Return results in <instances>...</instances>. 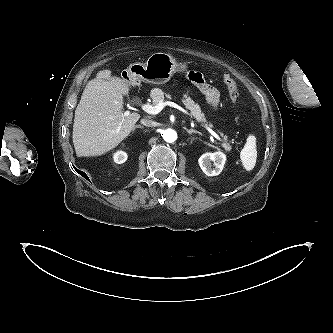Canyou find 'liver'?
<instances>
[{
	"mask_svg": "<svg viewBox=\"0 0 333 333\" xmlns=\"http://www.w3.org/2000/svg\"><path fill=\"white\" fill-rule=\"evenodd\" d=\"M129 83L101 70L90 80L75 110L73 143L77 156H96L112 150L131 132L138 113L122 112Z\"/></svg>",
	"mask_w": 333,
	"mask_h": 333,
	"instance_id": "obj_1",
	"label": "liver"
}]
</instances>
